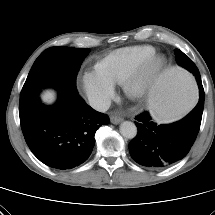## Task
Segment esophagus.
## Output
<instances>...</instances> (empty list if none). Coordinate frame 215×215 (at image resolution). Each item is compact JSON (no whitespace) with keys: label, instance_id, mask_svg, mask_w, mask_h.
Returning a JSON list of instances; mask_svg holds the SVG:
<instances>
[{"label":"esophagus","instance_id":"obj_1","mask_svg":"<svg viewBox=\"0 0 215 215\" xmlns=\"http://www.w3.org/2000/svg\"><path fill=\"white\" fill-rule=\"evenodd\" d=\"M123 120V118L119 117V116H111L110 117V121L113 124H119L121 121Z\"/></svg>","mask_w":215,"mask_h":215}]
</instances>
